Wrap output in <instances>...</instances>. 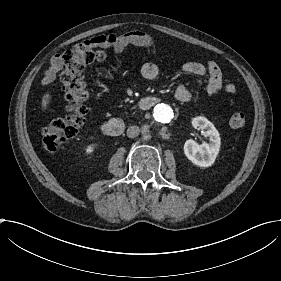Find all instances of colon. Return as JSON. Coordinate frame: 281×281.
<instances>
[{"mask_svg": "<svg viewBox=\"0 0 281 281\" xmlns=\"http://www.w3.org/2000/svg\"><path fill=\"white\" fill-rule=\"evenodd\" d=\"M103 38L79 43L72 51L63 55L65 69L61 73V80L65 91V104L61 115L45 128L42 138L44 148L50 153H57L66 142L77 138L87 126L89 94L85 69L91 63L105 60L110 51L114 52L113 48L104 45ZM150 55L160 58L163 48L153 45ZM246 121L242 112H234L230 117L231 125L236 128L243 127Z\"/></svg>", "mask_w": 281, "mask_h": 281, "instance_id": "colon-1", "label": "colon"}]
</instances>
